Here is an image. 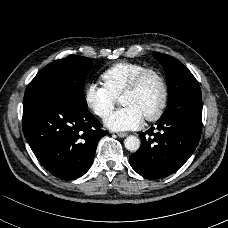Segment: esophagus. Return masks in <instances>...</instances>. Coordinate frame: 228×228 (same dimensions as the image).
Returning a JSON list of instances; mask_svg holds the SVG:
<instances>
[{
    "instance_id": "1",
    "label": "esophagus",
    "mask_w": 228,
    "mask_h": 228,
    "mask_svg": "<svg viewBox=\"0 0 228 228\" xmlns=\"http://www.w3.org/2000/svg\"><path fill=\"white\" fill-rule=\"evenodd\" d=\"M116 135H117L118 137H120V138H124V137L127 136V133H125V132H117Z\"/></svg>"
}]
</instances>
